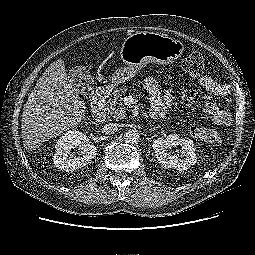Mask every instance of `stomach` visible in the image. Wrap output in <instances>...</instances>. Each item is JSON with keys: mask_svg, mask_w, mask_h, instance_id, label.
Listing matches in <instances>:
<instances>
[{"mask_svg": "<svg viewBox=\"0 0 255 255\" xmlns=\"http://www.w3.org/2000/svg\"><path fill=\"white\" fill-rule=\"evenodd\" d=\"M183 44L176 39L154 32H138L127 37L120 49L125 66L112 75L115 85L136 76L148 63L167 65L175 62L183 53Z\"/></svg>", "mask_w": 255, "mask_h": 255, "instance_id": "stomach-1", "label": "stomach"}]
</instances>
